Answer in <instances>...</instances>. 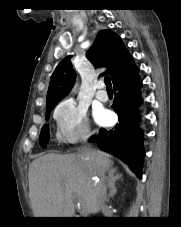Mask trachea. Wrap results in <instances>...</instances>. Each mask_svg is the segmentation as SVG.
Instances as JSON below:
<instances>
[{
  "label": "trachea",
  "mask_w": 181,
  "mask_h": 227,
  "mask_svg": "<svg viewBox=\"0 0 181 227\" xmlns=\"http://www.w3.org/2000/svg\"><path fill=\"white\" fill-rule=\"evenodd\" d=\"M104 82L106 84V88L107 89H112V84H111V80H110V77L109 76H105Z\"/></svg>",
  "instance_id": "obj_1"
}]
</instances>
